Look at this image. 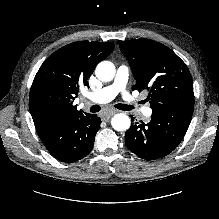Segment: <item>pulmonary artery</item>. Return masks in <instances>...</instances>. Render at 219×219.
<instances>
[{
    "label": "pulmonary artery",
    "mask_w": 219,
    "mask_h": 219,
    "mask_svg": "<svg viewBox=\"0 0 219 219\" xmlns=\"http://www.w3.org/2000/svg\"><path fill=\"white\" fill-rule=\"evenodd\" d=\"M129 78V68L126 65L120 66L115 73L114 82L106 87L92 92L87 100L88 103H107L111 101L118 92L125 89ZM152 110L149 107L141 108V113L145 120H148Z\"/></svg>",
    "instance_id": "obj_1"
}]
</instances>
